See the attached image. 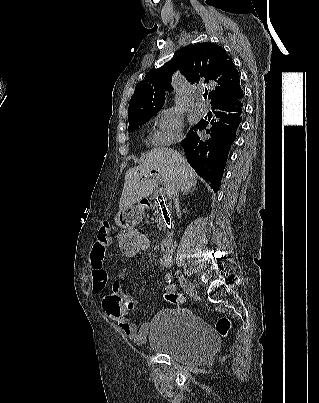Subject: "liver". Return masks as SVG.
Wrapping results in <instances>:
<instances>
[{"mask_svg":"<svg viewBox=\"0 0 319 403\" xmlns=\"http://www.w3.org/2000/svg\"><path fill=\"white\" fill-rule=\"evenodd\" d=\"M152 171H156L162 178L168 196H171L175 186L185 191L197 183L195 171L177 151L170 148H153L146 154L142 164L126 172L119 202L120 210L132 207L153 193L157 181L154 178L149 179Z\"/></svg>","mask_w":319,"mask_h":403,"instance_id":"liver-1","label":"liver"}]
</instances>
